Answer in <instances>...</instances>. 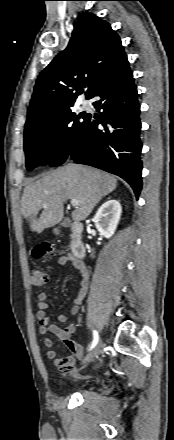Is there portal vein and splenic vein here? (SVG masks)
Returning a JSON list of instances; mask_svg holds the SVG:
<instances>
[{
  "label": "portal vein and splenic vein",
  "mask_w": 174,
  "mask_h": 440,
  "mask_svg": "<svg viewBox=\"0 0 174 440\" xmlns=\"http://www.w3.org/2000/svg\"><path fill=\"white\" fill-rule=\"evenodd\" d=\"M71 205L74 206V207H76V206L80 205V203H79L77 200L72 199V200H71Z\"/></svg>",
  "instance_id": "18ae733b"
}]
</instances>
